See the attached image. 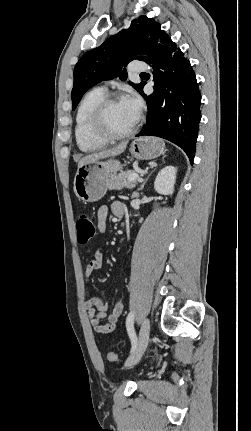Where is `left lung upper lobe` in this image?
Returning a JSON list of instances; mask_svg holds the SVG:
<instances>
[{
	"mask_svg": "<svg viewBox=\"0 0 251 431\" xmlns=\"http://www.w3.org/2000/svg\"><path fill=\"white\" fill-rule=\"evenodd\" d=\"M168 35L161 30L160 24L152 18L140 16L133 20L127 29L121 30L108 38L101 46L85 53L74 69L72 89L73 110L77 107L84 93L95 84L120 76L126 80L127 64L133 59L148 62L150 57L138 54H152L154 45ZM138 92L144 82H129Z\"/></svg>",
	"mask_w": 251,
	"mask_h": 431,
	"instance_id": "5c2ea615",
	"label": "left lung upper lobe"
}]
</instances>
